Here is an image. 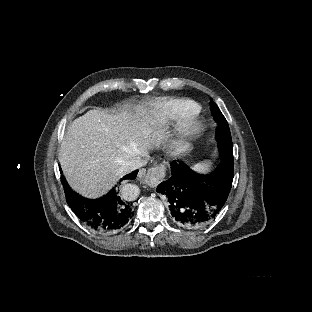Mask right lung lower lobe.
<instances>
[{
  "mask_svg": "<svg viewBox=\"0 0 312 312\" xmlns=\"http://www.w3.org/2000/svg\"><path fill=\"white\" fill-rule=\"evenodd\" d=\"M137 173L138 170L126 175L121 181L133 180ZM61 181L70 208L84 225L100 234L123 230L134 215L131 204L122 197L117 185L100 198L86 199L68 187L63 175Z\"/></svg>",
  "mask_w": 312,
  "mask_h": 312,
  "instance_id": "1",
  "label": "right lung lower lobe"
}]
</instances>
